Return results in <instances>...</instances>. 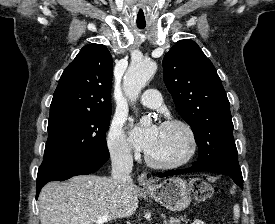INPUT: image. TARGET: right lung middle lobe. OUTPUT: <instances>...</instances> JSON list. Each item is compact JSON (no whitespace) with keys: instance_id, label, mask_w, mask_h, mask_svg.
I'll return each instance as SVG.
<instances>
[{"instance_id":"dd1d6c3e","label":"right lung middle lobe","mask_w":275,"mask_h":224,"mask_svg":"<svg viewBox=\"0 0 275 224\" xmlns=\"http://www.w3.org/2000/svg\"><path fill=\"white\" fill-rule=\"evenodd\" d=\"M111 112H65L50 115L44 160L107 149Z\"/></svg>"}]
</instances>
